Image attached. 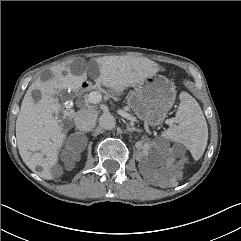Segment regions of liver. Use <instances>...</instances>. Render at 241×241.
Segmentation results:
<instances>
[{
  "instance_id": "1",
  "label": "liver",
  "mask_w": 241,
  "mask_h": 241,
  "mask_svg": "<svg viewBox=\"0 0 241 241\" xmlns=\"http://www.w3.org/2000/svg\"><path fill=\"white\" fill-rule=\"evenodd\" d=\"M70 62L54 70V78L41 82L35 80L28 88L16 120V139L23 162L40 177L52 179L51 166L57 161L58 148L65 133L60 121L54 114L60 111V104L54 95L61 90L77 91L87 80V73L75 75L71 72ZM96 64L99 76L94 80L120 92L130 86L143 82L154 75L158 69L152 61L132 57H99L89 64ZM66 72V75L63 74ZM39 91L41 98L33 101V92ZM42 170L37 172L36 168Z\"/></svg>"
}]
</instances>
